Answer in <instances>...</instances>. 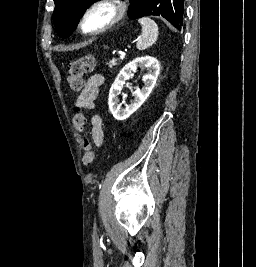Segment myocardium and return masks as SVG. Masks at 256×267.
Here are the masks:
<instances>
[{"label":"myocardium","instance_id":"1","mask_svg":"<svg viewBox=\"0 0 256 267\" xmlns=\"http://www.w3.org/2000/svg\"><path fill=\"white\" fill-rule=\"evenodd\" d=\"M102 7H107L110 8L113 11V16L110 19V21L101 29L96 30V31H88L85 29V22L89 14H91L93 11L96 9L102 8ZM125 15V8L124 6L117 0H102L99 1L89 8H87L82 15L80 16L79 19V29L80 31L87 36H97L100 34H103L110 28H112L114 25H116Z\"/></svg>","mask_w":256,"mask_h":267}]
</instances>
